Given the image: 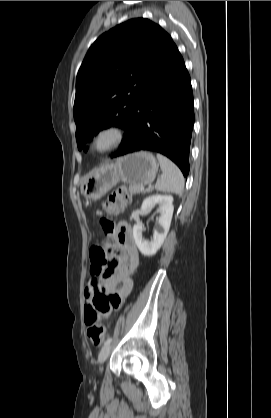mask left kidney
Listing matches in <instances>:
<instances>
[{
  "label": "left kidney",
  "mask_w": 271,
  "mask_h": 418,
  "mask_svg": "<svg viewBox=\"0 0 271 418\" xmlns=\"http://www.w3.org/2000/svg\"><path fill=\"white\" fill-rule=\"evenodd\" d=\"M157 204L160 210V217L158 218V229L153 233V239L149 242L143 239L141 222L133 226V237L135 243L144 256H153L160 249L168 234L172 216H173V197L170 195H152L147 197L141 206L142 211L147 212Z\"/></svg>",
  "instance_id": "5707ae66"
}]
</instances>
